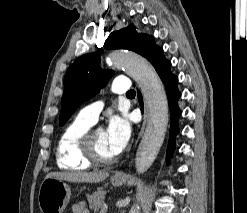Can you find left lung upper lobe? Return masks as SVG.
I'll use <instances>...</instances> for the list:
<instances>
[{"mask_svg":"<svg viewBox=\"0 0 247 213\" xmlns=\"http://www.w3.org/2000/svg\"><path fill=\"white\" fill-rule=\"evenodd\" d=\"M105 49H128L145 57L151 64L164 60L163 50L154 43V38L138 33L130 24L126 28L112 32L104 43ZM100 53H90L79 57L67 70L64 77V94L61 103L60 125H64L81 103L99 92L114 74L99 67Z\"/></svg>","mask_w":247,"mask_h":213,"instance_id":"obj_1","label":"left lung upper lobe"}]
</instances>
